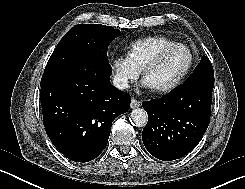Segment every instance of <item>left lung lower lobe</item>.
I'll use <instances>...</instances> for the list:
<instances>
[{
    "instance_id": "0a47b994",
    "label": "left lung lower lobe",
    "mask_w": 245,
    "mask_h": 189,
    "mask_svg": "<svg viewBox=\"0 0 245 189\" xmlns=\"http://www.w3.org/2000/svg\"><path fill=\"white\" fill-rule=\"evenodd\" d=\"M213 87L188 81L160 99L142 103L148 114L142 140L152 156L170 161L194 149L209 125Z\"/></svg>"
}]
</instances>
